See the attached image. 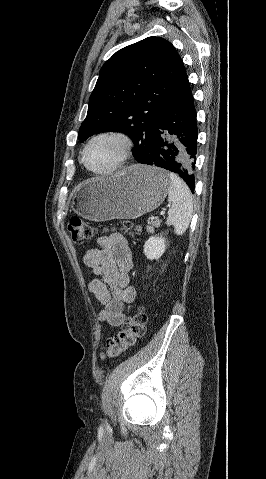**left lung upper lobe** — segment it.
<instances>
[{
  "mask_svg": "<svg viewBox=\"0 0 266 479\" xmlns=\"http://www.w3.org/2000/svg\"><path fill=\"white\" fill-rule=\"evenodd\" d=\"M186 77L182 59L163 38L148 37L117 51L100 70L80 141L99 132H123L142 163L164 107Z\"/></svg>",
  "mask_w": 266,
  "mask_h": 479,
  "instance_id": "1",
  "label": "left lung upper lobe"
}]
</instances>
